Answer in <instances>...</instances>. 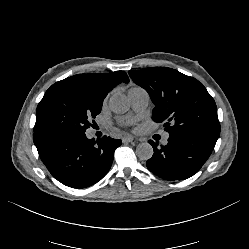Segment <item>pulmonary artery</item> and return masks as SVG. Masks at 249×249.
<instances>
[{
    "label": "pulmonary artery",
    "mask_w": 249,
    "mask_h": 249,
    "mask_svg": "<svg viewBox=\"0 0 249 249\" xmlns=\"http://www.w3.org/2000/svg\"><path fill=\"white\" fill-rule=\"evenodd\" d=\"M129 98L131 100L132 108L136 112L143 111L149 104V94L146 90L140 88L129 91ZM169 133L165 132L162 136V142L167 144Z\"/></svg>",
    "instance_id": "obj_1"
}]
</instances>
